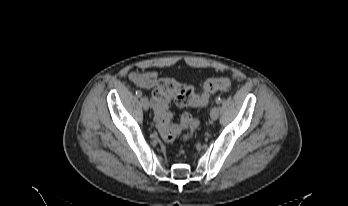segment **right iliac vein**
Listing matches in <instances>:
<instances>
[{"label":"right iliac vein","instance_id":"1","mask_svg":"<svg viewBox=\"0 0 348 206\" xmlns=\"http://www.w3.org/2000/svg\"><path fill=\"white\" fill-rule=\"evenodd\" d=\"M141 105L145 111H148L149 109V101L146 96L141 97L140 99Z\"/></svg>","mask_w":348,"mask_h":206}]
</instances>
